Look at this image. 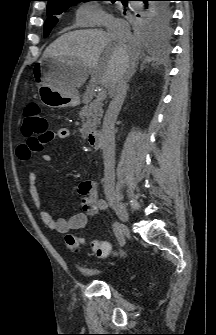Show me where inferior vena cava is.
Segmentation results:
<instances>
[{
    "instance_id": "1",
    "label": "inferior vena cava",
    "mask_w": 216,
    "mask_h": 335,
    "mask_svg": "<svg viewBox=\"0 0 216 335\" xmlns=\"http://www.w3.org/2000/svg\"><path fill=\"white\" fill-rule=\"evenodd\" d=\"M107 33L119 45L131 39L129 24L119 18L110 16L105 22ZM133 73L132 62L126 57L121 60L113 89V98L106 111L101 136L104 160V189L114 190L115 186V121L124 102L128 81Z\"/></svg>"
}]
</instances>
